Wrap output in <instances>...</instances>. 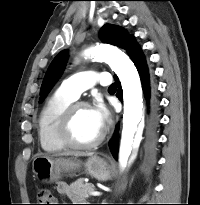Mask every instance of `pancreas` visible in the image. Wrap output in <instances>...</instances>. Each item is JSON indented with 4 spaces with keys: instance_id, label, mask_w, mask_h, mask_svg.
<instances>
[{
    "instance_id": "pancreas-1",
    "label": "pancreas",
    "mask_w": 200,
    "mask_h": 205,
    "mask_svg": "<svg viewBox=\"0 0 200 205\" xmlns=\"http://www.w3.org/2000/svg\"><path fill=\"white\" fill-rule=\"evenodd\" d=\"M94 190L95 186L92 183H84V179L79 178L70 184L69 198L72 201H85L89 197L90 192Z\"/></svg>"
}]
</instances>
